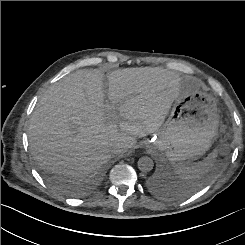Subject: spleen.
<instances>
[{
	"label": "spleen",
	"mask_w": 245,
	"mask_h": 245,
	"mask_svg": "<svg viewBox=\"0 0 245 245\" xmlns=\"http://www.w3.org/2000/svg\"><path fill=\"white\" fill-rule=\"evenodd\" d=\"M218 149L210 153L203 161L191 165L176 164L175 173L184 181L199 179L215 165Z\"/></svg>",
	"instance_id": "obj_1"
}]
</instances>
